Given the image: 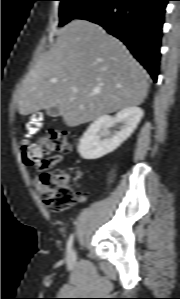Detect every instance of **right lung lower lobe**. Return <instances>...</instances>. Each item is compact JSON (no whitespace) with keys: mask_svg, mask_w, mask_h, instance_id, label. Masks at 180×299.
Returning <instances> with one entry per match:
<instances>
[{"mask_svg":"<svg viewBox=\"0 0 180 299\" xmlns=\"http://www.w3.org/2000/svg\"><path fill=\"white\" fill-rule=\"evenodd\" d=\"M167 1L102 0L77 19L99 24L120 39L156 82Z\"/></svg>","mask_w":180,"mask_h":299,"instance_id":"obj_1","label":"right lung lower lobe"}]
</instances>
